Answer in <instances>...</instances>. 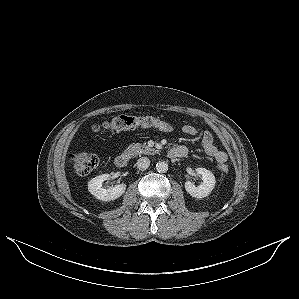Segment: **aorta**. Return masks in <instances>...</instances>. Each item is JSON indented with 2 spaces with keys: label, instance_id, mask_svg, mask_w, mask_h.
Returning <instances> with one entry per match:
<instances>
[{
  "label": "aorta",
  "instance_id": "aorta-1",
  "mask_svg": "<svg viewBox=\"0 0 299 299\" xmlns=\"http://www.w3.org/2000/svg\"><path fill=\"white\" fill-rule=\"evenodd\" d=\"M156 169L158 172L165 173L168 170V164L165 161H159L156 164Z\"/></svg>",
  "mask_w": 299,
  "mask_h": 299
}]
</instances>
